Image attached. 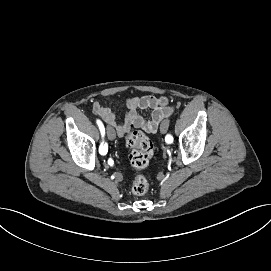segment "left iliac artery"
<instances>
[{
    "instance_id": "44dca946",
    "label": "left iliac artery",
    "mask_w": 271,
    "mask_h": 271,
    "mask_svg": "<svg viewBox=\"0 0 271 271\" xmlns=\"http://www.w3.org/2000/svg\"><path fill=\"white\" fill-rule=\"evenodd\" d=\"M164 139H165V141H166V143H168V144H173V135L172 134H166L165 135V137H164Z\"/></svg>"
}]
</instances>
